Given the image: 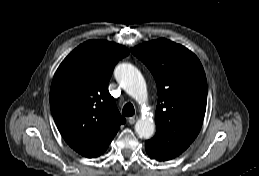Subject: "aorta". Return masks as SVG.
I'll use <instances>...</instances> for the list:
<instances>
[{
  "mask_svg": "<svg viewBox=\"0 0 259 176\" xmlns=\"http://www.w3.org/2000/svg\"><path fill=\"white\" fill-rule=\"evenodd\" d=\"M114 75L121 87L138 103L147 100L145 79L135 66L121 63L115 68ZM135 131L144 139L151 138L155 132L154 121L151 118L139 119L135 124Z\"/></svg>",
  "mask_w": 259,
  "mask_h": 176,
  "instance_id": "aorta-1",
  "label": "aorta"
}]
</instances>
